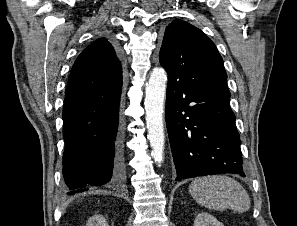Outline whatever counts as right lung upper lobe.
<instances>
[{
  "label": "right lung upper lobe",
  "mask_w": 297,
  "mask_h": 226,
  "mask_svg": "<svg viewBox=\"0 0 297 226\" xmlns=\"http://www.w3.org/2000/svg\"><path fill=\"white\" fill-rule=\"evenodd\" d=\"M122 83L121 63L111 44L97 39L76 59L67 83L66 96Z\"/></svg>",
  "instance_id": "cb5924a9"
}]
</instances>
